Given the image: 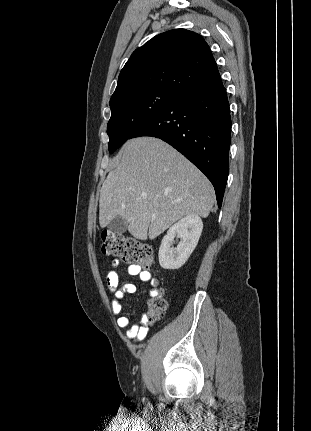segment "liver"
I'll return each mask as SVG.
<instances>
[{"instance_id": "liver-1", "label": "liver", "mask_w": 311, "mask_h": 431, "mask_svg": "<svg viewBox=\"0 0 311 431\" xmlns=\"http://www.w3.org/2000/svg\"><path fill=\"white\" fill-rule=\"evenodd\" d=\"M121 154L101 188L100 227L120 216L133 237L154 239L180 217L209 216L215 204L212 184L172 146L157 138H134Z\"/></svg>"}]
</instances>
